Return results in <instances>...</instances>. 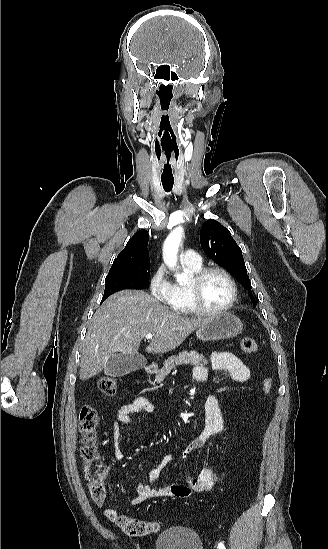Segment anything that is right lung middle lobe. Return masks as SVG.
<instances>
[{
	"label": "right lung middle lobe",
	"mask_w": 328,
	"mask_h": 549,
	"mask_svg": "<svg viewBox=\"0 0 328 549\" xmlns=\"http://www.w3.org/2000/svg\"><path fill=\"white\" fill-rule=\"evenodd\" d=\"M150 261H137L119 269L110 270L105 279L102 302L123 289H143L149 283Z\"/></svg>",
	"instance_id": "dd1d6c3e"
}]
</instances>
